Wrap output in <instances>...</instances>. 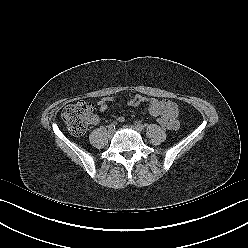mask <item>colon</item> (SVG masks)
I'll use <instances>...</instances> for the list:
<instances>
[{
	"instance_id": "1",
	"label": "colon",
	"mask_w": 248,
	"mask_h": 248,
	"mask_svg": "<svg viewBox=\"0 0 248 248\" xmlns=\"http://www.w3.org/2000/svg\"><path fill=\"white\" fill-rule=\"evenodd\" d=\"M93 113V105L89 102H77L66 106L62 111V118L69 131L76 136L82 135L90 124ZM160 126L168 128L169 122L164 117H159Z\"/></svg>"
}]
</instances>
